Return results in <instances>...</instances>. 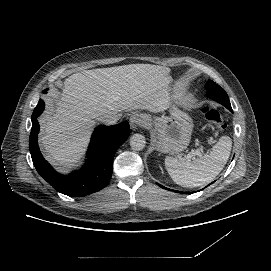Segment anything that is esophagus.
<instances>
[{
    "label": "esophagus",
    "instance_id": "34e87169",
    "mask_svg": "<svg viewBox=\"0 0 271 271\" xmlns=\"http://www.w3.org/2000/svg\"><path fill=\"white\" fill-rule=\"evenodd\" d=\"M145 121V116L142 113L139 112H133L130 115V126L132 130H137L139 127L142 126V124Z\"/></svg>",
    "mask_w": 271,
    "mask_h": 271
}]
</instances>
